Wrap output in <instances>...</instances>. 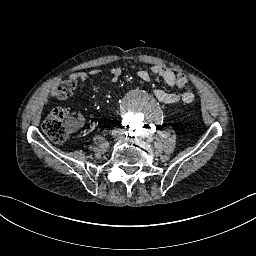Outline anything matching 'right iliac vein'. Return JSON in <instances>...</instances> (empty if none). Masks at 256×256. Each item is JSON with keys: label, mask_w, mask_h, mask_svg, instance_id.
<instances>
[{"label": "right iliac vein", "mask_w": 256, "mask_h": 256, "mask_svg": "<svg viewBox=\"0 0 256 256\" xmlns=\"http://www.w3.org/2000/svg\"><path fill=\"white\" fill-rule=\"evenodd\" d=\"M112 136H113V137H117L118 134H117L116 132H113V133H112Z\"/></svg>", "instance_id": "63e3f726"}]
</instances>
